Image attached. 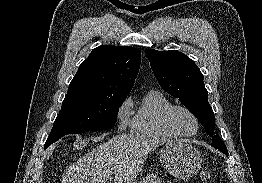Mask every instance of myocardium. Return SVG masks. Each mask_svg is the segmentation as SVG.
Masks as SVG:
<instances>
[{"instance_id": "myocardium-1", "label": "myocardium", "mask_w": 262, "mask_h": 183, "mask_svg": "<svg viewBox=\"0 0 262 183\" xmlns=\"http://www.w3.org/2000/svg\"><path fill=\"white\" fill-rule=\"evenodd\" d=\"M177 110H183V111L187 112L194 119V121L196 123V128L192 133L181 132L175 126V124L173 122V115ZM163 121H164V125L167 128V130L177 137H185V138L193 137L198 133V131L200 129V120H199L198 116L190 108H188L187 106H184V105H172L170 108H168V110L164 114Z\"/></svg>"}]
</instances>
